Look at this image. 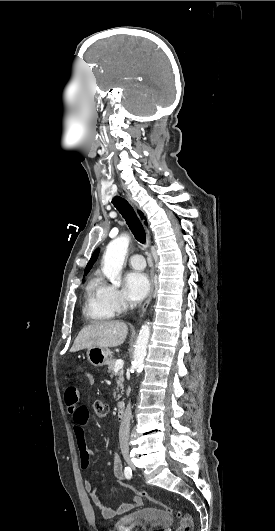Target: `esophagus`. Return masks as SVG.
I'll return each instance as SVG.
<instances>
[{"label": "esophagus", "mask_w": 275, "mask_h": 531, "mask_svg": "<svg viewBox=\"0 0 275 531\" xmlns=\"http://www.w3.org/2000/svg\"><path fill=\"white\" fill-rule=\"evenodd\" d=\"M147 236H148V243H149V245H151V235H150V232H149L148 229H147ZM153 291H154V267H151L150 292L148 294L147 299L144 301V303L142 305V312H144L146 310V308L148 307V305H149V303H150V301L152 299Z\"/></svg>", "instance_id": "1"}]
</instances>
